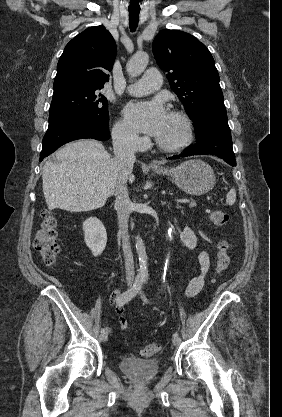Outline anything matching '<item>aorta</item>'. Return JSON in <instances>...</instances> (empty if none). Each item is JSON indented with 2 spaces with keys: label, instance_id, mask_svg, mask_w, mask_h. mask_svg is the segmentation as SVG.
I'll return each instance as SVG.
<instances>
[{
  "label": "aorta",
  "instance_id": "762f6f07",
  "mask_svg": "<svg viewBox=\"0 0 282 417\" xmlns=\"http://www.w3.org/2000/svg\"><path fill=\"white\" fill-rule=\"evenodd\" d=\"M148 62L149 56L148 54H146V52H136V54H133L130 60H128L126 64V70L128 74H132V76H137V74H141V72L145 70ZM135 247L139 267L137 277L138 279H149V267L146 247L140 235H137V237H135Z\"/></svg>",
  "mask_w": 282,
  "mask_h": 417
}]
</instances>
